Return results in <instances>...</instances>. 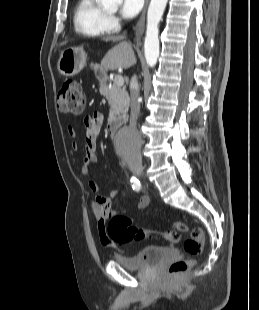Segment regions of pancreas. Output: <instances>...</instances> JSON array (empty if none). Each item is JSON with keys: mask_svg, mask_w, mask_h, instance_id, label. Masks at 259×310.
<instances>
[{"mask_svg": "<svg viewBox=\"0 0 259 310\" xmlns=\"http://www.w3.org/2000/svg\"><path fill=\"white\" fill-rule=\"evenodd\" d=\"M100 94L106 97L110 106L108 122H119L126 118L129 97L125 88L113 85L109 88L105 79L100 80Z\"/></svg>", "mask_w": 259, "mask_h": 310, "instance_id": "obj_1", "label": "pancreas"}]
</instances>
